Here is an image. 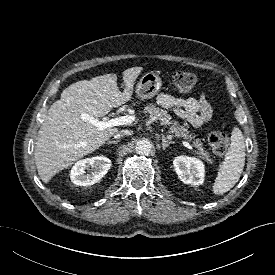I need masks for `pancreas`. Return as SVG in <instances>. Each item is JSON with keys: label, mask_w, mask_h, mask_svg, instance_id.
I'll list each match as a JSON object with an SVG mask.
<instances>
[{"label": "pancreas", "mask_w": 275, "mask_h": 275, "mask_svg": "<svg viewBox=\"0 0 275 275\" xmlns=\"http://www.w3.org/2000/svg\"><path fill=\"white\" fill-rule=\"evenodd\" d=\"M143 112L149 113L150 115L157 117L161 125L169 127V133L173 136L183 138L189 142H192L194 147L197 149L196 154L207 162L213 163L211 155L209 154V152L204 150L203 144L200 139H195V136L192 135L185 126H181L178 121L172 120L171 115L167 111L160 109L155 105H148L144 108Z\"/></svg>", "instance_id": "obj_1"}]
</instances>
